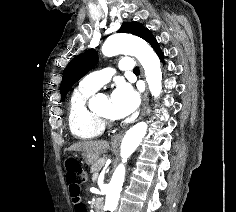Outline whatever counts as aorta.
Here are the masks:
<instances>
[{
	"mask_svg": "<svg viewBox=\"0 0 236 212\" xmlns=\"http://www.w3.org/2000/svg\"><path fill=\"white\" fill-rule=\"evenodd\" d=\"M102 53L107 57L118 54L135 56L144 68L146 81L152 96L157 97L160 95L162 89L160 60L146 41L130 34H114L105 41L102 47ZM100 98V95L92 97L89 104H97ZM146 131L147 124L145 122H139L132 126L124 135L120 147L122 163L118 165L104 190L105 209L109 212H115L118 207L126 172L124 163L139 146Z\"/></svg>",
	"mask_w": 236,
	"mask_h": 212,
	"instance_id": "obj_1",
	"label": "aorta"
}]
</instances>
